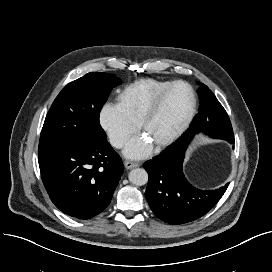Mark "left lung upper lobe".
Returning <instances> with one entry per match:
<instances>
[{
	"label": "left lung upper lobe",
	"mask_w": 272,
	"mask_h": 272,
	"mask_svg": "<svg viewBox=\"0 0 272 272\" xmlns=\"http://www.w3.org/2000/svg\"><path fill=\"white\" fill-rule=\"evenodd\" d=\"M200 108L192 125H198V129L213 137H223L233 134L229 117L212 91L204 84L199 91Z\"/></svg>",
	"instance_id": "left-lung-upper-lobe-1"
}]
</instances>
